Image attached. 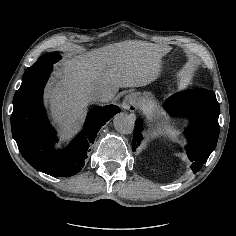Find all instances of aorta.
I'll use <instances>...</instances> for the list:
<instances>
[{
  "label": "aorta",
  "mask_w": 236,
  "mask_h": 236,
  "mask_svg": "<svg viewBox=\"0 0 236 236\" xmlns=\"http://www.w3.org/2000/svg\"><path fill=\"white\" fill-rule=\"evenodd\" d=\"M113 124L118 132L131 134L134 130L135 117L126 113H119L114 116Z\"/></svg>",
  "instance_id": "aorta-1"
}]
</instances>
